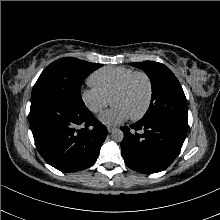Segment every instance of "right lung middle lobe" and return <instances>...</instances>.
Returning a JSON list of instances; mask_svg holds the SVG:
<instances>
[{
    "label": "right lung middle lobe",
    "instance_id": "obj_1",
    "mask_svg": "<svg viewBox=\"0 0 220 220\" xmlns=\"http://www.w3.org/2000/svg\"><path fill=\"white\" fill-rule=\"evenodd\" d=\"M101 66L73 57L58 59L41 73L34 85L31 99L48 96L76 106H85L80 94L81 85L89 74Z\"/></svg>",
    "mask_w": 220,
    "mask_h": 220
}]
</instances>
